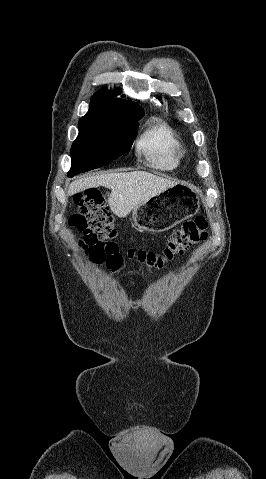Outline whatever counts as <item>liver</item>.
Segmentation results:
<instances>
[{"instance_id": "1", "label": "liver", "mask_w": 266, "mask_h": 479, "mask_svg": "<svg viewBox=\"0 0 266 479\" xmlns=\"http://www.w3.org/2000/svg\"><path fill=\"white\" fill-rule=\"evenodd\" d=\"M177 182L146 171L120 172L84 177L73 181L68 195L99 186L111 189L108 204L118 217H126L151 197L176 185Z\"/></svg>"}]
</instances>
